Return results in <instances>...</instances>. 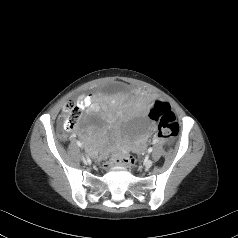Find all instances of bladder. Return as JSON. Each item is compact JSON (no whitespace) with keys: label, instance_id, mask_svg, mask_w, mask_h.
I'll list each match as a JSON object with an SVG mask.
<instances>
[{"label":"bladder","instance_id":"bladder-1","mask_svg":"<svg viewBox=\"0 0 238 238\" xmlns=\"http://www.w3.org/2000/svg\"><path fill=\"white\" fill-rule=\"evenodd\" d=\"M109 91H110L112 94H117V93L120 91V86H119L117 83H112V84L109 86Z\"/></svg>","mask_w":238,"mask_h":238}]
</instances>
